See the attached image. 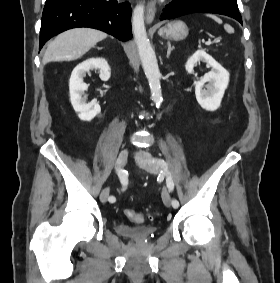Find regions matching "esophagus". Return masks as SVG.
I'll return each instance as SVG.
<instances>
[{"instance_id":"1","label":"esophagus","mask_w":280,"mask_h":283,"mask_svg":"<svg viewBox=\"0 0 280 283\" xmlns=\"http://www.w3.org/2000/svg\"><path fill=\"white\" fill-rule=\"evenodd\" d=\"M155 13H156L155 2L154 1H150L147 4V7H146V22L148 24L152 23V21L154 20Z\"/></svg>"}]
</instances>
